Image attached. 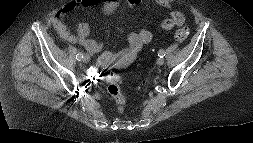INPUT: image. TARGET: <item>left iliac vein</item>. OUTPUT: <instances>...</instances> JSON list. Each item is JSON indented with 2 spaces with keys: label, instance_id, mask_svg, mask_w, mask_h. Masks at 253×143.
<instances>
[{
  "label": "left iliac vein",
  "instance_id": "obj_1",
  "mask_svg": "<svg viewBox=\"0 0 253 143\" xmlns=\"http://www.w3.org/2000/svg\"><path fill=\"white\" fill-rule=\"evenodd\" d=\"M164 62H165V60L163 58H158L156 63H157V65L161 66L164 64Z\"/></svg>",
  "mask_w": 253,
  "mask_h": 143
}]
</instances>
